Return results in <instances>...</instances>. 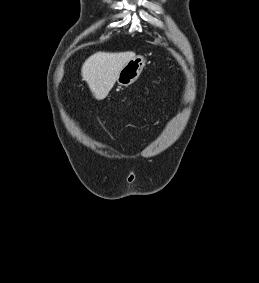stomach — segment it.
<instances>
[{
  "mask_svg": "<svg viewBox=\"0 0 259 283\" xmlns=\"http://www.w3.org/2000/svg\"><path fill=\"white\" fill-rule=\"evenodd\" d=\"M145 66V59L142 56H135L119 72L116 79L120 86H129L137 80Z\"/></svg>",
  "mask_w": 259,
  "mask_h": 283,
  "instance_id": "1",
  "label": "stomach"
}]
</instances>
